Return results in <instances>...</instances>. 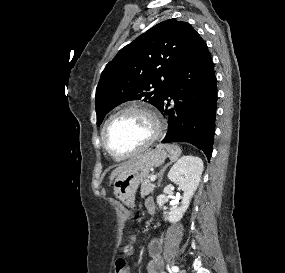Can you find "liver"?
I'll list each match as a JSON object with an SVG mask.
<instances>
[{
  "label": "liver",
  "mask_w": 285,
  "mask_h": 273,
  "mask_svg": "<svg viewBox=\"0 0 285 273\" xmlns=\"http://www.w3.org/2000/svg\"><path fill=\"white\" fill-rule=\"evenodd\" d=\"M132 162L133 161H129L127 163H124V164L120 165L119 167H117L115 170H113L111 175H110V183L123 169H125L127 166H129Z\"/></svg>",
  "instance_id": "6515ba94"
}]
</instances>
